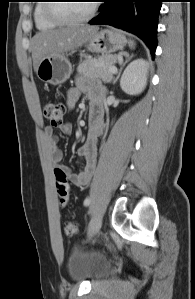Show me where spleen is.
<instances>
[{"label":"spleen","instance_id":"obj_1","mask_svg":"<svg viewBox=\"0 0 195 299\" xmlns=\"http://www.w3.org/2000/svg\"><path fill=\"white\" fill-rule=\"evenodd\" d=\"M128 44H129V47H130V48H134V46H135V43H134V41H132V40H129V41H128Z\"/></svg>","mask_w":195,"mask_h":299}]
</instances>
